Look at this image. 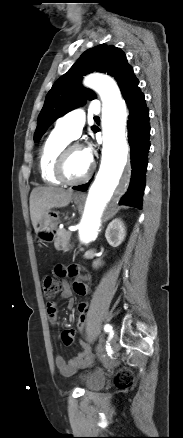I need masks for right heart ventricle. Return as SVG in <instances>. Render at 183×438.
<instances>
[{
    "instance_id": "e07e8e85",
    "label": "right heart ventricle",
    "mask_w": 183,
    "mask_h": 438,
    "mask_svg": "<svg viewBox=\"0 0 183 438\" xmlns=\"http://www.w3.org/2000/svg\"><path fill=\"white\" fill-rule=\"evenodd\" d=\"M70 140L68 136L54 129L43 143L39 153V170L45 183L49 185L60 184L54 176L53 169L58 154Z\"/></svg>"
}]
</instances>
